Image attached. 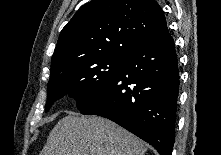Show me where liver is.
I'll return each instance as SVG.
<instances>
[{
  "label": "liver",
  "mask_w": 221,
  "mask_h": 155,
  "mask_svg": "<svg viewBox=\"0 0 221 155\" xmlns=\"http://www.w3.org/2000/svg\"><path fill=\"white\" fill-rule=\"evenodd\" d=\"M139 138L105 118L63 117L50 132L40 155H145Z\"/></svg>",
  "instance_id": "obj_1"
}]
</instances>
